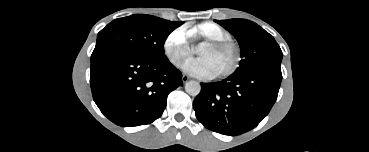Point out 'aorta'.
Listing matches in <instances>:
<instances>
[{
  "instance_id": "1",
  "label": "aorta",
  "mask_w": 369,
  "mask_h": 152,
  "mask_svg": "<svg viewBox=\"0 0 369 152\" xmlns=\"http://www.w3.org/2000/svg\"><path fill=\"white\" fill-rule=\"evenodd\" d=\"M185 91L191 96H197L201 91V86L197 81H188L185 84Z\"/></svg>"
}]
</instances>
